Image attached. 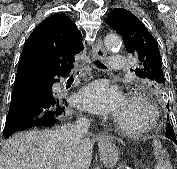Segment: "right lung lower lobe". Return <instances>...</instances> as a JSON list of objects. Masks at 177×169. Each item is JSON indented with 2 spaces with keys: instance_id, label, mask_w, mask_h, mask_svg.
<instances>
[{
  "instance_id": "98d812e1",
  "label": "right lung lower lobe",
  "mask_w": 177,
  "mask_h": 169,
  "mask_svg": "<svg viewBox=\"0 0 177 169\" xmlns=\"http://www.w3.org/2000/svg\"><path fill=\"white\" fill-rule=\"evenodd\" d=\"M69 72L18 69L3 136L31 127L52 126L64 119L67 102L52 89Z\"/></svg>"
}]
</instances>
